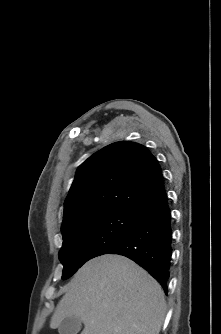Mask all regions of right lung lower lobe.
Segmentation results:
<instances>
[{
  "label": "right lung lower lobe",
  "instance_id": "right-lung-lower-lobe-1",
  "mask_svg": "<svg viewBox=\"0 0 221 334\" xmlns=\"http://www.w3.org/2000/svg\"><path fill=\"white\" fill-rule=\"evenodd\" d=\"M172 228L167 195L164 192L145 206L119 243L105 254H119L143 267L167 294Z\"/></svg>",
  "mask_w": 221,
  "mask_h": 334
}]
</instances>
